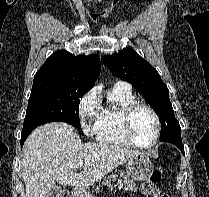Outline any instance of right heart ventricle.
<instances>
[{
	"mask_svg": "<svg viewBox=\"0 0 209 197\" xmlns=\"http://www.w3.org/2000/svg\"><path fill=\"white\" fill-rule=\"evenodd\" d=\"M136 100L129 85H115L108 93L107 102L101 106L99 117L94 126L98 141L126 146L129 145L121 126L122 112Z\"/></svg>",
	"mask_w": 209,
	"mask_h": 197,
	"instance_id": "1",
	"label": "right heart ventricle"
}]
</instances>
